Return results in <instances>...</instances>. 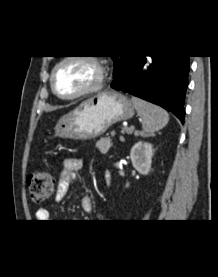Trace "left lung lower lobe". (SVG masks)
I'll return each instance as SVG.
<instances>
[{
    "label": "left lung lower lobe",
    "instance_id": "obj_1",
    "mask_svg": "<svg viewBox=\"0 0 218 277\" xmlns=\"http://www.w3.org/2000/svg\"><path fill=\"white\" fill-rule=\"evenodd\" d=\"M189 68V56L135 55L114 77L111 88L159 105L183 123Z\"/></svg>",
    "mask_w": 218,
    "mask_h": 277
}]
</instances>
